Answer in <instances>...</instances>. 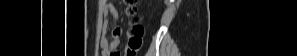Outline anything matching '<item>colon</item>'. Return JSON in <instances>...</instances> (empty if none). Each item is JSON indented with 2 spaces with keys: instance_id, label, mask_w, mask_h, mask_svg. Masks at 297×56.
<instances>
[{
  "instance_id": "obj_1",
  "label": "colon",
  "mask_w": 297,
  "mask_h": 56,
  "mask_svg": "<svg viewBox=\"0 0 297 56\" xmlns=\"http://www.w3.org/2000/svg\"><path fill=\"white\" fill-rule=\"evenodd\" d=\"M125 13L133 18L130 29L127 34V43L125 47V56H137L138 52L142 48L143 44V27L139 24L137 14V1L125 0ZM120 53H116L115 56H119Z\"/></svg>"
}]
</instances>
